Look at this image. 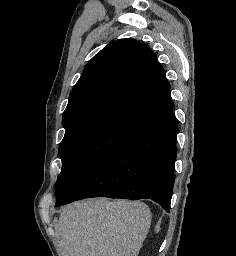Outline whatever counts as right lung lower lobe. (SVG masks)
I'll use <instances>...</instances> for the list:
<instances>
[{"label": "right lung lower lobe", "instance_id": "right-lung-lower-lobe-1", "mask_svg": "<svg viewBox=\"0 0 236 256\" xmlns=\"http://www.w3.org/2000/svg\"><path fill=\"white\" fill-rule=\"evenodd\" d=\"M178 126L173 111L148 122L57 206L89 197L151 199L169 212Z\"/></svg>", "mask_w": 236, "mask_h": 256}]
</instances>
